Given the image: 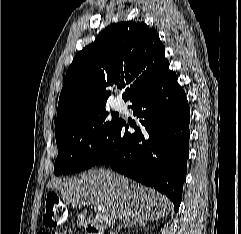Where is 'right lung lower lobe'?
I'll return each instance as SVG.
<instances>
[{
    "label": "right lung lower lobe",
    "mask_w": 241,
    "mask_h": 234,
    "mask_svg": "<svg viewBox=\"0 0 241 234\" xmlns=\"http://www.w3.org/2000/svg\"><path fill=\"white\" fill-rule=\"evenodd\" d=\"M163 70L128 101L139 127L120 119L94 165L111 168L168 196L178 210L189 154L190 108L175 72ZM129 126L135 128L128 132Z\"/></svg>",
    "instance_id": "98d812e1"
}]
</instances>
